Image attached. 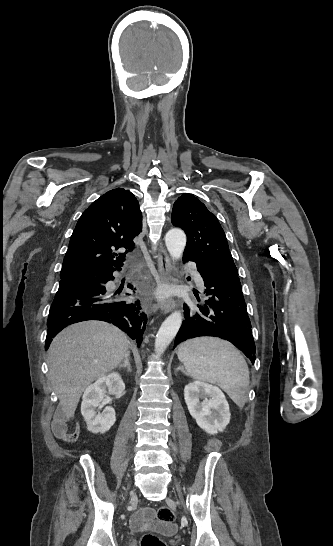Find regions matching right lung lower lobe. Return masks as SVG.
I'll return each instance as SVG.
<instances>
[{
  "label": "right lung lower lobe",
  "instance_id": "obj_1",
  "mask_svg": "<svg viewBox=\"0 0 333 546\" xmlns=\"http://www.w3.org/2000/svg\"><path fill=\"white\" fill-rule=\"evenodd\" d=\"M112 273L103 275L102 282L95 280L58 290L47 320L46 350L63 328L86 320L112 323L140 346L147 322L146 314L139 301L128 303L107 293L105 283L114 279ZM128 287L133 290L132 285L128 284Z\"/></svg>",
  "mask_w": 333,
  "mask_h": 546
}]
</instances>
